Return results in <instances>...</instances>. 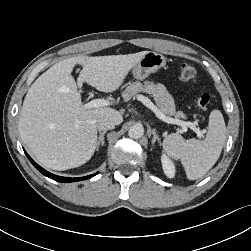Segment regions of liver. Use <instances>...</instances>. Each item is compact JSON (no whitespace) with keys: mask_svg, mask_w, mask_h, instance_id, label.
<instances>
[{"mask_svg":"<svg viewBox=\"0 0 251 251\" xmlns=\"http://www.w3.org/2000/svg\"><path fill=\"white\" fill-rule=\"evenodd\" d=\"M146 53L73 57L40 75L25 96L19 119L21 138L37 161L59 171L89 161L97 147V120L107 116L118 125L123 118L110 107L85 108L78 88L86 82L101 92L117 90ZM77 64L83 70L76 83L72 71Z\"/></svg>","mask_w":251,"mask_h":251,"instance_id":"obj_1","label":"liver"}]
</instances>
